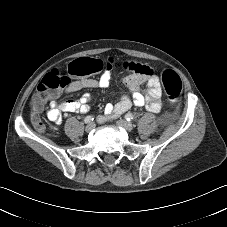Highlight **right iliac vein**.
<instances>
[{"label": "right iliac vein", "mask_w": 227, "mask_h": 227, "mask_svg": "<svg viewBox=\"0 0 227 227\" xmlns=\"http://www.w3.org/2000/svg\"><path fill=\"white\" fill-rule=\"evenodd\" d=\"M94 127H95V123L91 122L85 127V130L89 132V131L93 130Z\"/></svg>", "instance_id": "63e3f726"}]
</instances>
